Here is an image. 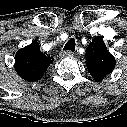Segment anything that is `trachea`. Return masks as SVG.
<instances>
[{
  "label": "trachea",
  "mask_w": 127,
  "mask_h": 127,
  "mask_svg": "<svg viewBox=\"0 0 127 127\" xmlns=\"http://www.w3.org/2000/svg\"><path fill=\"white\" fill-rule=\"evenodd\" d=\"M75 45H76L75 39L74 38H70L68 40V42L65 44L63 49L64 50H70V51L74 52L75 51Z\"/></svg>",
  "instance_id": "trachea-1"
}]
</instances>
